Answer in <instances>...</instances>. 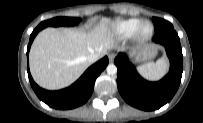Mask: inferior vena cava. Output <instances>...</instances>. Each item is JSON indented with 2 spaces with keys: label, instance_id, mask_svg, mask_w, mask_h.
I'll return each mask as SVG.
<instances>
[{
  "label": "inferior vena cava",
  "instance_id": "602c4592",
  "mask_svg": "<svg viewBox=\"0 0 203 123\" xmlns=\"http://www.w3.org/2000/svg\"><path fill=\"white\" fill-rule=\"evenodd\" d=\"M98 58H99V55H98V54L92 53V54H90V55L87 56V61H88L89 63H93V62H95Z\"/></svg>",
  "mask_w": 203,
  "mask_h": 123
}]
</instances>
